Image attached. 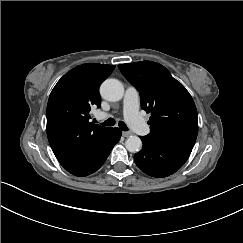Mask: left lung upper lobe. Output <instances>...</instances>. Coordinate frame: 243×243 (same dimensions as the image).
Segmentation results:
<instances>
[{
  "instance_id": "left-lung-upper-lobe-1",
  "label": "left lung upper lobe",
  "mask_w": 243,
  "mask_h": 243,
  "mask_svg": "<svg viewBox=\"0 0 243 243\" xmlns=\"http://www.w3.org/2000/svg\"><path fill=\"white\" fill-rule=\"evenodd\" d=\"M118 67L139 91L142 108L151 113L147 136L193 148L198 133L197 110L186 88L167 68L152 61Z\"/></svg>"
}]
</instances>
